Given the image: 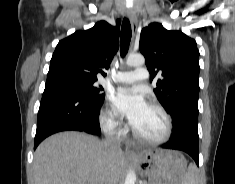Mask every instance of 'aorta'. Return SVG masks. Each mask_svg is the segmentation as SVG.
Instances as JSON below:
<instances>
[{
	"instance_id": "1",
	"label": "aorta",
	"mask_w": 235,
	"mask_h": 184,
	"mask_svg": "<svg viewBox=\"0 0 235 184\" xmlns=\"http://www.w3.org/2000/svg\"><path fill=\"white\" fill-rule=\"evenodd\" d=\"M127 66H138V68H142L145 64V58L144 56H141V54H130L126 60ZM136 182V176L134 172H129L125 178L124 184H135Z\"/></svg>"
}]
</instances>
